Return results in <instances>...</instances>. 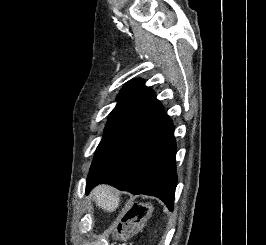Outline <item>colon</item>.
<instances>
[{
    "label": "colon",
    "instance_id": "5ec220e1",
    "mask_svg": "<svg viewBox=\"0 0 266 245\" xmlns=\"http://www.w3.org/2000/svg\"><path fill=\"white\" fill-rule=\"evenodd\" d=\"M150 213V206L146 202H136L128 207L115 227V235L124 245L141 229Z\"/></svg>",
    "mask_w": 266,
    "mask_h": 245
}]
</instances>
